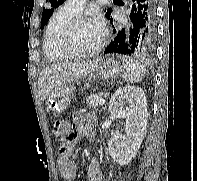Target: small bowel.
I'll use <instances>...</instances> for the list:
<instances>
[{
  "mask_svg": "<svg viewBox=\"0 0 197 181\" xmlns=\"http://www.w3.org/2000/svg\"><path fill=\"white\" fill-rule=\"evenodd\" d=\"M93 120L84 114H76L69 133L65 139H61L62 143L59 149L58 167L61 175L66 180H73L77 175V163L72 158L73 146L80 136L84 135L90 140H94V132L92 130ZM88 181H102V172L97 159L91 160L87 170Z\"/></svg>",
  "mask_w": 197,
  "mask_h": 181,
  "instance_id": "small-bowel-1",
  "label": "small bowel"
}]
</instances>
